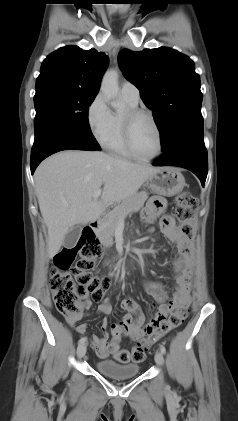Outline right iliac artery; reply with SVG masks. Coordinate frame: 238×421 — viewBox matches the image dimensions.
<instances>
[{"label": "right iliac artery", "mask_w": 238, "mask_h": 421, "mask_svg": "<svg viewBox=\"0 0 238 421\" xmlns=\"http://www.w3.org/2000/svg\"><path fill=\"white\" fill-rule=\"evenodd\" d=\"M85 341H87V338L86 337H82L80 340H79V344H81V343H84Z\"/></svg>", "instance_id": "right-iliac-artery-1"}]
</instances>
